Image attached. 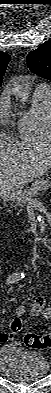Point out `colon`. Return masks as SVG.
Masks as SVG:
<instances>
[{
	"mask_svg": "<svg viewBox=\"0 0 51 393\" xmlns=\"http://www.w3.org/2000/svg\"><path fill=\"white\" fill-rule=\"evenodd\" d=\"M41 303H36L37 308H41ZM22 320L15 317L11 320L10 329L12 332H17L21 329ZM24 344L29 349L44 350L51 346V337L49 335L28 334L24 339Z\"/></svg>",
	"mask_w": 51,
	"mask_h": 393,
	"instance_id": "obj_1",
	"label": "colon"
}]
</instances>
